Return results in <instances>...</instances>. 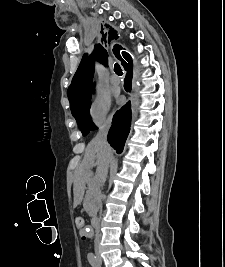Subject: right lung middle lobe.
Returning a JSON list of instances; mask_svg holds the SVG:
<instances>
[{"label":"right lung middle lobe","instance_id":"right-lung-middle-lobe-1","mask_svg":"<svg viewBox=\"0 0 225 267\" xmlns=\"http://www.w3.org/2000/svg\"><path fill=\"white\" fill-rule=\"evenodd\" d=\"M91 96L92 90L89 91L80 101L71 105L72 114L84 136L87 135L89 131L97 129L90 116Z\"/></svg>","mask_w":225,"mask_h":267}]
</instances>
